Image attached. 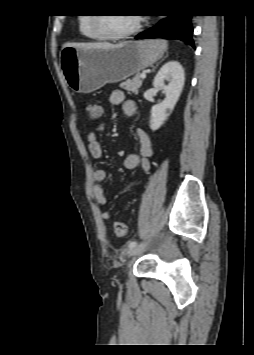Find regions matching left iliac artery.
Here are the masks:
<instances>
[{
    "label": "left iliac artery",
    "mask_w": 254,
    "mask_h": 355,
    "mask_svg": "<svg viewBox=\"0 0 254 355\" xmlns=\"http://www.w3.org/2000/svg\"><path fill=\"white\" fill-rule=\"evenodd\" d=\"M136 245H137V241H131V242H129V244H128L129 248H133V247H135Z\"/></svg>",
    "instance_id": "left-iliac-artery-1"
}]
</instances>
